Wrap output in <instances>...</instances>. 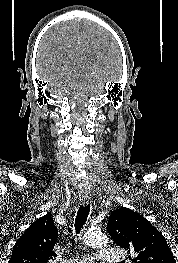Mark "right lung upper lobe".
I'll list each match as a JSON object with an SVG mask.
<instances>
[{
    "instance_id": "cb5924a9",
    "label": "right lung upper lobe",
    "mask_w": 178,
    "mask_h": 263,
    "mask_svg": "<svg viewBox=\"0 0 178 263\" xmlns=\"http://www.w3.org/2000/svg\"><path fill=\"white\" fill-rule=\"evenodd\" d=\"M58 230L50 215L40 217L17 240L9 263H48L55 252Z\"/></svg>"
}]
</instances>
